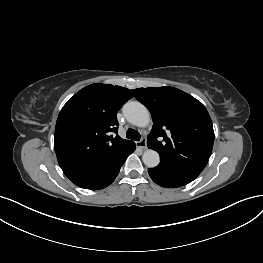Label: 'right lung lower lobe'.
Here are the masks:
<instances>
[{"instance_id": "obj_1", "label": "right lung lower lobe", "mask_w": 263, "mask_h": 263, "mask_svg": "<svg viewBox=\"0 0 263 263\" xmlns=\"http://www.w3.org/2000/svg\"><path fill=\"white\" fill-rule=\"evenodd\" d=\"M136 146L133 143L123 153L112 158L104 165L87 172L68 177L75 185L90 190H98L110 185L119 173L126 158L134 152Z\"/></svg>"}]
</instances>
